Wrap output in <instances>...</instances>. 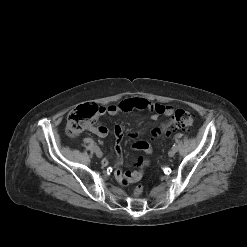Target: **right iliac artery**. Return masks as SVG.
<instances>
[{
  "label": "right iliac artery",
  "instance_id": "1",
  "mask_svg": "<svg viewBox=\"0 0 247 247\" xmlns=\"http://www.w3.org/2000/svg\"><path fill=\"white\" fill-rule=\"evenodd\" d=\"M97 149H99V147L98 146H94V150H97Z\"/></svg>",
  "mask_w": 247,
  "mask_h": 247
}]
</instances>
